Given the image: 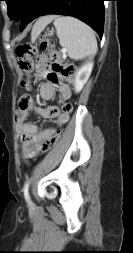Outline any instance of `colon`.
<instances>
[{
	"mask_svg": "<svg viewBox=\"0 0 133 253\" xmlns=\"http://www.w3.org/2000/svg\"><path fill=\"white\" fill-rule=\"evenodd\" d=\"M40 49L45 52L44 56H52V61H47L50 71L55 74L63 77L65 79H71L73 76V67L67 63V61L62 57V55L54 48L53 43L49 40H41ZM37 53V48L31 44H22L16 48V55L18 58L19 67L29 75L34 68L35 56ZM22 85L25 88L29 87L27 81H23ZM73 111V105L70 102H65L61 106V113L70 115ZM61 131L51 138L45 140L40 148L35 154H44L48 152L56 144Z\"/></svg>",
	"mask_w": 133,
	"mask_h": 253,
	"instance_id": "1",
	"label": "colon"
}]
</instances>
